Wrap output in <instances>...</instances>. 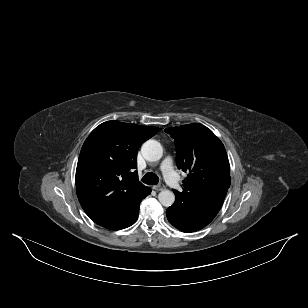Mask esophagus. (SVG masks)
<instances>
[{"mask_svg": "<svg viewBox=\"0 0 308 308\" xmlns=\"http://www.w3.org/2000/svg\"><path fill=\"white\" fill-rule=\"evenodd\" d=\"M165 187L164 185H161V184H158V185H154L153 186V189L156 190V191H161L163 190Z\"/></svg>", "mask_w": 308, "mask_h": 308, "instance_id": "esophagus-1", "label": "esophagus"}]
</instances>
